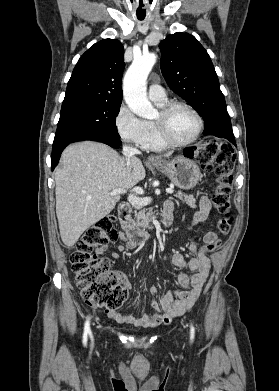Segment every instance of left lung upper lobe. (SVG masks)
Listing matches in <instances>:
<instances>
[{
    "mask_svg": "<svg viewBox=\"0 0 279 391\" xmlns=\"http://www.w3.org/2000/svg\"><path fill=\"white\" fill-rule=\"evenodd\" d=\"M159 48L167 84L202 116L203 134L222 138L233 135L217 74L203 46L194 36L178 32L167 36Z\"/></svg>",
    "mask_w": 279,
    "mask_h": 391,
    "instance_id": "obj_1",
    "label": "left lung upper lobe"
}]
</instances>
